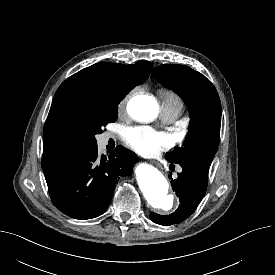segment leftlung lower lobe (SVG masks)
Instances as JSON below:
<instances>
[{
    "mask_svg": "<svg viewBox=\"0 0 275 275\" xmlns=\"http://www.w3.org/2000/svg\"><path fill=\"white\" fill-rule=\"evenodd\" d=\"M179 165L182 172L174 180L171 174L170 179L180 205L170 215L151 213V220L157 224L169 226L184 221L195 211L206 192L210 165L199 161H188Z\"/></svg>",
    "mask_w": 275,
    "mask_h": 275,
    "instance_id": "obj_1",
    "label": "left lung lower lobe"
}]
</instances>
